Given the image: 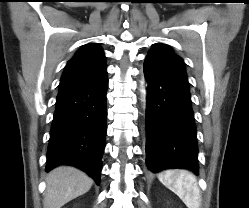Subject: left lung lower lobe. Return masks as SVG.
Returning <instances> with one entry per match:
<instances>
[{
    "label": "left lung lower lobe",
    "mask_w": 249,
    "mask_h": 208,
    "mask_svg": "<svg viewBox=\"0 0 249 208\" xmlns=\"http://www.w3.org/2000/svg\"><path fill=\"white\" fill-rule=\"evenodd\" d=\"M146 165L151 173L181 168L199 174L197 132L186 72L149 58Z\"/></svg>",
    "instance_id": "obj_1"
}]
</instances>
